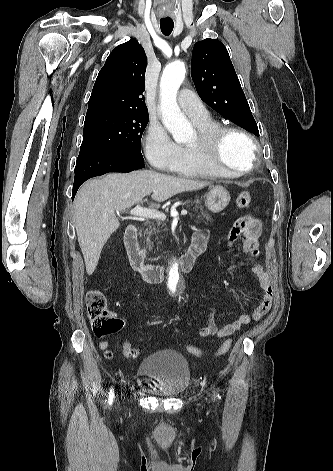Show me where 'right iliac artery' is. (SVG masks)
I'll return each mask as SVG.
<instances>
[{
	"label": "right iliac artery",
	"instance_id": "right-iliac-artery-1",
	"mask_svg": "<svg viewBox=\"0 0 333 471\" xmlns=\"http://www.w3.org/2000/svg\"><path fill=\"white\" fill-rule=\"evenodd\" d=\"M113 397H114V388L111 387V388H110V392H109V401H108L109 405L112 404V402H113Z\"/></svg>",
	"mask_w": 333,
	"mask_h": 471
}]
</instances>
